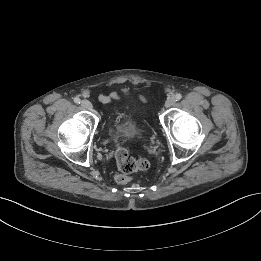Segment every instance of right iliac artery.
<instances>
[{"label": "right iliac artery", "instance_id": "1", "mask_svg": "<svg viewBox=\"0 0 261 261\" xmlns=\"http://www.w3.org/2000/svg\"><path fill=\"white\" fill-rule=\"evenodd\" d=\"M74 102L77 103V104H80L81 100H80V98L75 97V98H74Z\"/></svg>", "mask_w": 261, "mask_h": 261}]
</instances>
